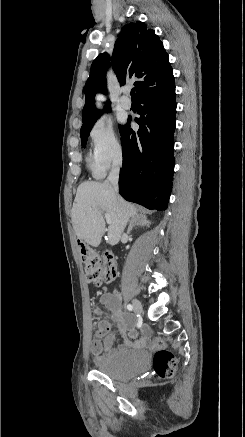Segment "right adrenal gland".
<instances>
[{
    "label": "right adrenal gland",
    "instance_id": "1",
    "mask_svg": "<svg viewBox=\"0 0 245 437\" xmlns=\"http://www.w3.org/2000/svg\"><path fill=\"white\" fill-rule=\"evenodd\" d=\"M150 222L143 215H137L135 218H132L129 222L127 232L130 233L134 226H144L149 225Z\"/></svg>",
    "mask_w": 245,
    "mask_h": 437
}]
</instances>
